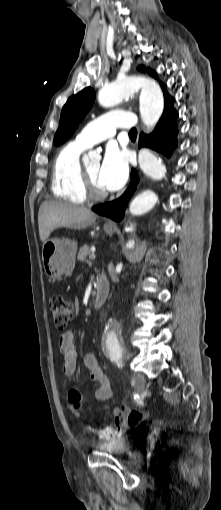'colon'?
Segmentation results:
<instances>
[{"label": "colon", "instance_id": "obj_1", "mask_svg": "<svg viewBox=\"0 0 221 510\" xmlns=\"http://www.w3.org/2000/svg\"><path fill=\"white\" fill-rule=\"evenodd\" d=\"M49 307L55 326L59 329H65L74 316L72 305L64 297L55 295L51 297ZM122 414L130 427L139 425L147 418L145 413L134 410L124 411ZM89 431L104 438H110L113 435L112 429L109 427L101 429L89 427Z\"/></svg>", "mask_w": 221, "mask_h": 510}]
</instances>
